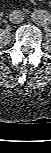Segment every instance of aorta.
Returning a JSON list of instances; mask_svg holds the SVG:
<instances>
[{"label": "aorta", "mask_w": 51, "mask_h": 153, "mask_svg": "<svg viewBox=\"0 0 51 153\" xmlns=\"http://www.w3.org/2000/svg\"><path fill=\"white\" fill-rule=\"evenodd\" d=\"M51 18L50 13L40 11V10H33L31 12V19L43 26L49 25V20Z\"/></svg>", "instance_id": "1"}]
</instances>
